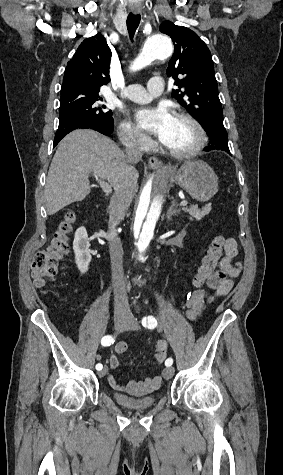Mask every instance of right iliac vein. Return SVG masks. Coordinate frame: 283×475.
I'll return each instance as SVG.
<instances>
[{
	"label": "right iliac vein",
	"mask_w": 283,
	"mask_h": 475,
	"mask_svg": "<svg viewBox=\"0 0 283 475\" xmlns=\"http://www.w3.org/2000/svg\"><path fill=\"white\" fill-rule=\"evenodd\" d=\"M127 315L124 314V313H120V314H117L115 315L114 317V327L116 329H123L124 326L126 325L127 323ZM107 373V368H103L98 374H99V377H104Z\"/></svg>",
	"instance_id": "obj_1"
}]
</instances>
